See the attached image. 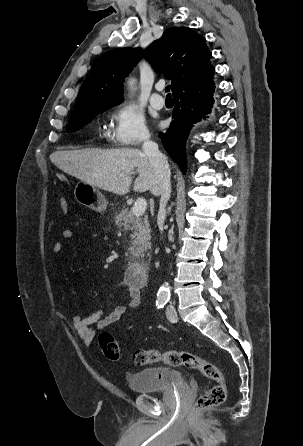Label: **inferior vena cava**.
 I'll return each mask as SVG.
<instances>
[{
    "instance_id": "602c4592",
    "label": "inferior vena cava",
    "mask_w": 303,
    "mask_h": 446,
    "mask_svg": "<svg viewBox=\"0 0 303 446\" xmlns=\"http://www.w3.org/2000/svg\"><path fill=\"white\" fill-rule=\"evenodd\" d=\"M142 149L152 164L159 183L161 199L158 212V227L162 232L166 217V204L171 194L170 168L166 156L159 151L158 145L151 141L149 137H146L143 141Z\"/></svg>"
}]
</instances>
